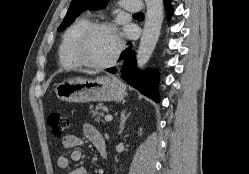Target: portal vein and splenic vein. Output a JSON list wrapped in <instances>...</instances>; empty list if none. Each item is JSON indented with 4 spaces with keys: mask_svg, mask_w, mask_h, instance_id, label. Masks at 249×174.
Listing matches in <instances>:
<instances>
[{
    "mask_svg": "<svg viewBox=\"0 0 249 174\" xmlns=\"http://www.w3.org/2000/svg\"><path fill=\"white\" fill-rule=\"evenodd\" d=\"M112 119H113V117H112V115H110V114H107V115L105 116V120H106V121H112Z\"/></svg>",
    "mask_w": 249,
    "mask_h": 174,
    "instance_id": "1",
    "label": "portal vein and splenic vein"
}]
</instances>
